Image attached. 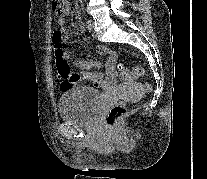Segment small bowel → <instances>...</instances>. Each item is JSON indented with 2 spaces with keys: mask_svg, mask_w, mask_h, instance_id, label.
<instances>
[{
  "mask_svg": "<svg viewBox=\"0 0 207 179\" xmlns=\"http://www.w3.org/2000/svg\"><path fill=\"white\" fill-rule=\"evenodd\" d=\"M70 13V6L68 5V10L66 15ZM65 22V19L63 17L58 19V24L60 26L59 30L64 33L65 29L63 27ZM67 39V37H65ZM96 50L105 55L107 58L106 61V71L105 74L100 71H91V68L97 67L100 65V63L96 60H83V59H71L67 55L66 57L69 58L70 60V65L71 66H76L79 65L82 70L80 72L74 73L79 79V82L81 81H86L92 84V86L96 89H102V90H107L117 83V60L118 56L117 53L103 45H96L95 46ZM76 83V84H77Z\"/></svg>",
  "mask_w": 207,
  "mask_h": 179,
  "instance_id": "1",
  "label": "small bowel"
}]
</instances>
